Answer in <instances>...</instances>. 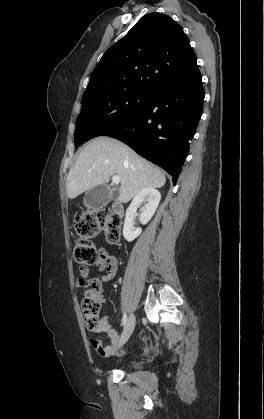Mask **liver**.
Masks as SVG:
<instances>
[{"label": "liver", "instance_id": "1", "mask_svg": "<svg viewBox=\"0 0 264 419\" xmlns=\"http://www.w3.org/2000/svg\"><path fill=\"white\" fill-rule=\"evenodd\" d=\"M111 176H119L121 187L118 201L126 203L145 188H161L165 174L140 157L119 140L97 137L80 152L70 169L66 193L74 199L92 188L109 182Z\"/></svg>", "mask_w": 264, "mask_h": 419}]
</instances>
